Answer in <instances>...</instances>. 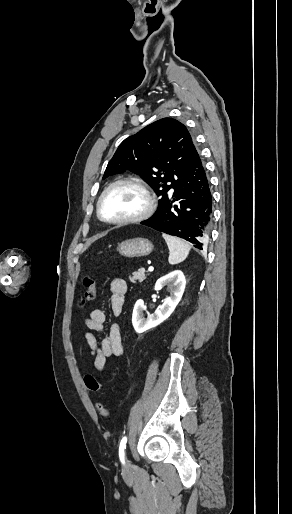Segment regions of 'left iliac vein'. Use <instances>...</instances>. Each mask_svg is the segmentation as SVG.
Listing matches in <instances>:
<instances>
[{"mask_svg": "<svg viewBox=\"0 0 292 514\" xmlns=\"http://www.w3.org/2000/svg\"><path fill=\"white\" fill-rule=\"evenodd\" d=\"M130 466V463H129V460L127 459L126 457V460H125V463H124V467L127 468Z\"/></svg>", "mask_w": 292, "mask_h": 514, "instance_id": "1", "label": "left iliac vein"}]
</instances>
